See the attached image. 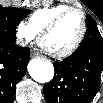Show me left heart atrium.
I'll list each match as a JSON object with an SVG mask.
<instances>
[{
	"mask_svg": "<svg viewBox=\"0 0 103 103\" xmlns=\"http://www.w3.org/2000/svg\"><path fill=\"white\" fill-rule=\"evenodd\" d=\"M41 46L43 47V48H46V46H45V44L42 42L41 43Z\"/></svg>",
	"mask_w": 103,
	"mask_h": 103,
	"instance_id": "1",
	"label": "left heart atrium"
}]
</instances>
